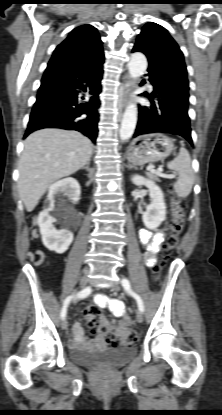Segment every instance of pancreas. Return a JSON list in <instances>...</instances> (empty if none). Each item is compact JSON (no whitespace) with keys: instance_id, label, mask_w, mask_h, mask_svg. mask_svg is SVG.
Instances as JSON below:
<instances>
[{"instance_id":"cf45deb5","label":"pancreas","mask_w":222,"mask_h":415,"mask_svg":"<svg viewBox=\"0 0 222 415\" xmlns=\"http://www.w3.org/2000/svg\"><path fill=\"white\" fill-rule=\"evenodd\" d=\"M147 176H148L149 178H151V179L155 180V181H158V180H159V179H158L159 173H152V172H150V173H147Z\"/></svg>"}]
</instances>
